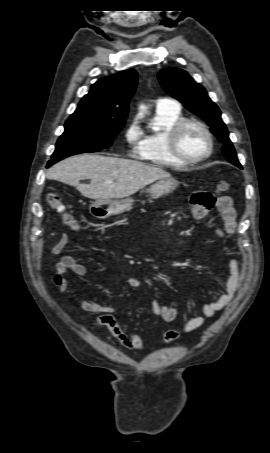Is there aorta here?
<instances>
[{"instance_id":"762f6f07","label":"aorta","mask_w":270,"mask_h":453,"mask_svg":"<svg viewBox=\"0 0 270 453\" xmlns=\"http://www.w3.org/2000/svg\"><path fill=\"white\" fill-rule=\"evenodd\" d=\"M141 108H142V109H145V107H144V106H141Z\"/></svg>"}]
</instances>
